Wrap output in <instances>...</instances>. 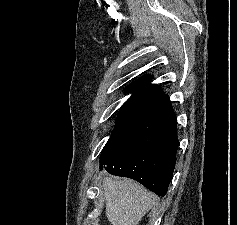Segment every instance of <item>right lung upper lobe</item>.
I'll return each mask as SVG.
<instances>
[{
  "instance_id": "right-lung-upper-lobe-1",
  "label": "right lung upper lobe",
  "mask_w": 237,
  "mask_h": 225,
  "mask_svg": "<svg viewBox=\"0 0 237 225\" xmlns=\"http://www.w3.org/2000/svg\"><path fill=\"white\" fill-rule=\"evenodd\" d=\"M151 79V75L141 77L127 87L132 96L119 109L117 122L124 124L169 100L160 87L150 83Z\"/></svg>"
}]
</instances>
